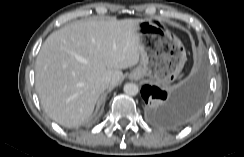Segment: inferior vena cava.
<instances>
[{
  "label": "inferior vena cava",
  "mask_w": 244,
  "mask_h": 157,
  "mask_svg": "<svg viewBox=\"0 0 244 157\" xmlns=\"http://www.w3.org/2000/svg\"><path fill=\"white\" fill-rule=\"evenodd\" d=\"M110 81H111V76L109 74L103 76V82L109 84Z\"/></svg>",
  "instance_id": "602c4592"
}]
</instances>
